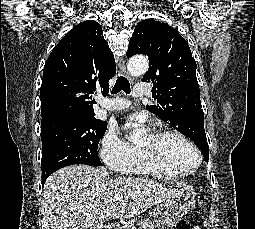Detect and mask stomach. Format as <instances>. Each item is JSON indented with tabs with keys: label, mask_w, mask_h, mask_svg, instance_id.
Segmentation results:
<instances>
[{
	"label": "stomach",
	"mask_w": 255,
	"mask_h": 229,
	"mask_svg": "<svg viewBox=\"0 0 255 229\" xmlns=\"http://www.w3.org/2000/svg\"><path fill=\"white\" fill-rule=\"evenodd\" d=\"M196 192L192 186L175 189L153 213L157 229H170L171 224L185 216L195 206Z\"/></svg>",
	"instance_id": "obj_1"
}]
</instances>
